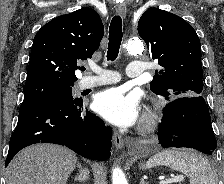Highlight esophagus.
<instances>
[{
	"label": "esophagus",
	"mask_w": 224,
	"mask_h": 184,
	"mask_svg": "<svg viewBox=\"0 0 224 184\" xmlns=\"http://www.w3.org/2000/svg\"><path fill=\"white\" fill-rule=\"evenodd\" d=\"M115 9H116V12L122 18L126 17L127 9H126V5L124 3L116 4ZM113 141H114V145L117 149H122L124 147L123 138L117 131H114V133H113Z\"/></svg>",
	"instance_id": "1"
}]
</instances>
